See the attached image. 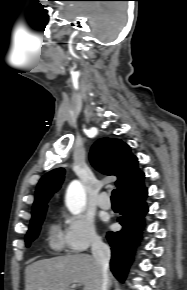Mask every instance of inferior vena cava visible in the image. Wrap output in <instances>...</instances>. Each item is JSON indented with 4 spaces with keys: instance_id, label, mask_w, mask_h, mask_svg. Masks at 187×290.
<instances>
[{
    "instance_id": "inferior-vena-cava-1",
    "label": "inferior vena cava",
    "mask_w": 187,
    "mask_h": 290,
    "mask_svg": "<svg viewBox=\"0 0 187 290\" xmlns=\"http://www.w3.org/2000/svg\"><path fill=\"white\" fill-rule=\"evenodd\" d=\"M92 255L98 265L102 276V290H108L109 282V261L111 257L110 248L100 237H96L92 242Z\"/></svg>"
}]
</instances>
